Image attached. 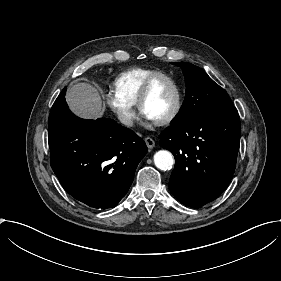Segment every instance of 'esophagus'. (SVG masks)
Listing matches in <instances>:
<instances>
[{
	"instance_id": "obj_1",
	"label": "esophagus",
	"mask_w": 281,
	"mask_h": 281,
	"mask_svg": "<svg viewBox=\"0 0 281 281\" xmlns=\"http://www.w3.org/2000/svg\"><path fill=\"white\" fill-rule=\"evenodd\" d=\"M145 143L148 148H153L155 146V141L151 137H146Z\"/></svg>"
}]
</instances>
